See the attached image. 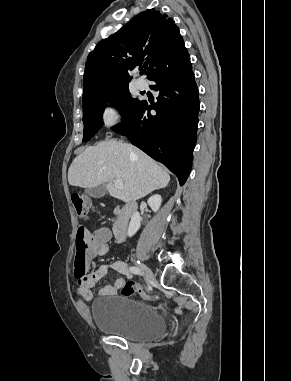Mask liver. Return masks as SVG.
I'll list each match as a JSON object with an SVG mask.
<instances>
[{
	"label": "liver",
	"mask_w": 291,
	"mask_h": 381,
	"mask_svg": "<svg viewBox=\"0 0 291 381\" xmlns=\"http://www.w3.org/2000/svg\"><path fill=\"white\" fill-rule=\"evenodd\" d=\"M123 181V188L112 184ZM170 176L151 157L131 144L102 141L78 155L68 170L71 186L93 188L107 183L110 196L123 202L141 199L168 185Z\"/></svg>",
	"instance_id": "liver-1"
}]
</instances>
